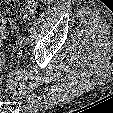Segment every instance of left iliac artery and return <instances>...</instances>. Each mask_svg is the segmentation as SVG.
Segmentation results:
<instances>
[{"label":"left iliac artery","instance_id":"left-iliac-artery-1","mask_svg":"<svg viewBox=\"0 0 113 113\" xmlns=\"http://www.w3.org/2000/svg\"><path fill=\"white\" fill-rule=\"evenodd\" d=\"M24 39H26V44L29 42V39L28 38H26V37H24Z\"/></svg>","mask_w":113,"mask_h":113}]
</instances>
